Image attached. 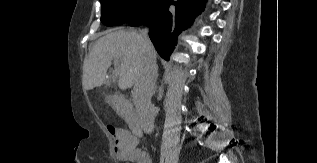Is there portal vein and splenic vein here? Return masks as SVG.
<instances>
[{
    "label": "portal vein and splenic vein",
    "instance_id": "portal-vein-and-splenic-vein-1",
    "mask_svg": "<svg viewBox=\"0 0 317 163\" xmlns=\"http://www.w3.org/2000/svg\"><path fill=\"white\" fill-rule=\"evenodd\" d=\"M119 71H120V63L119 60H114V70L111 74V77L113 80L117 79L119 77Z\"/></svg>",
    "mask_w": 317,
    "mask_h": 163
}]
</instances>
